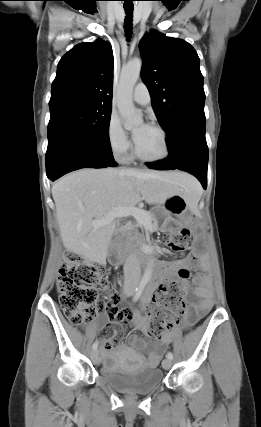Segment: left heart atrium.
Returning a JSON list of instances; mask_svg holds the SVG:
<instances>
[{"instance_id":"1","label":"left heart atrium","mask_w":261,"mask_h":427,"mask_svg":"<svg viewBox=\"0 0 261 427\" xmlns=\"http://www.w3.org/2000/svg\"><path fill=\"white\" fill-rule=\"evenodd\" d=\"M148 127H149L148 125L144 124V125H142V126L140 127V129H139L137 132H135V133H134V135H133V139H134V142H135V143L140 139L141 134H142V133L144 132V130H146Z\"/></svg>"}]
</instances>
